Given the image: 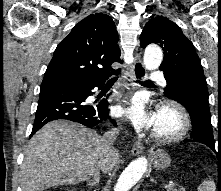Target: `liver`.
<instances>
[{"label":"liver","instance_id":"obj_1","mask_svg":"<svg viewBox=\"0 0 221 191\" xmlns=\"http://www.w3.org/2000/svg\"><path fill=\"white\" fill-rule=\"evenodd\" d=\"M102 138L93 130L66 120L44 125L29 141L21 165L23 191H43L88 180L101 169ZM117 161L115 156L105 172Z\"/></svg>","mask_w":221,"mask_h":191}]
</instances>
